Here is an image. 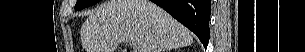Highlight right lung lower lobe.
Wrapping results in <instances>:
<instances>
[{"label":"right lung lower lobe","instance_id":"right-lung-lower-lobe-1","mask_svg":"<svg viewBox=\"0 0 305 52\" xmlns=\"http://www.w3.org/2000/svg\"><path fill=\"white\" fill-rule=\"evenodd\" d=\"M194 32L204 48L210 38L211 0H151Z\"/></svg>","mask_w":305,"mask_h":52}]
</instances>
